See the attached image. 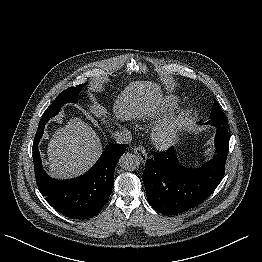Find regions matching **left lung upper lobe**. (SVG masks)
<instances>
[{"label": "left lung upper lobe", "instance_id": "5c2ea615", "mask_svg": "<svg viewBox=\"0 0 262 262\" xmlns=\"http://www.w3.org/2000/svg\"><path fill=\"white\" fill-rule=\"evenodd\" d=\"M209 121L206 124H213L215 126H225L227 119L218 103L215 101L211 110Z\"/></svg>", "mask_w": 262, "mask_h": 262}]
</instances>
